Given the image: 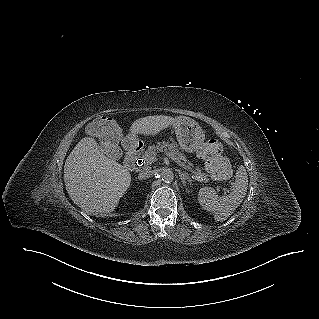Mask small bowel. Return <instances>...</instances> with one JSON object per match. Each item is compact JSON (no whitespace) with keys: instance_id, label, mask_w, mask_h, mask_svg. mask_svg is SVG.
<instances>
[{"instance_id":"c3829d8e","label":"small bowel","mask_w":319,"mask_h":319,"mask_svg":"<svg viewBox=\"0 0 319 319\" xmlns=\"http://www.w3.org/2000/svg\"><path fill=\"white\" fill-rule=\"evenodd\" d=\"M199 156L204 158L203 154L201 153V150L199 151Z\"/></svg>"}]
</instances>
